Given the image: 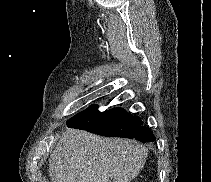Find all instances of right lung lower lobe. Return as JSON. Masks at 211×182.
Here are the masks:
<instances>
[{"label":"right lung lower lobe","instance_id":"1","mask_svg":"<svg viewBox=\"0 0 211 182\" xmlns=\"http://www.w3.org/2000/svg\"><path fill=\"white\" fill-rule=\"evenodd\" d=\"M142 124L139 117L132 116L122 108L100 112L96 105H91L67 121L70 128L102 136L135 138L142 142L155 141L153 133Z\"/></svg>","mask_w":211,"mask_h":182}]
</instances>
